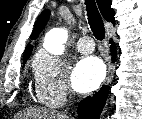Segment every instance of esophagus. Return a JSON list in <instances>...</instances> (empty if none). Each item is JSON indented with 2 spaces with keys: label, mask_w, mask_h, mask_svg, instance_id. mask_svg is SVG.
Returning <instances> with one entry per match:
<instances>
[{
  "label": "esophagus",
  "mask_w": 142,
  "mask_h": 119,
  "mask_svg": "<svg viewBox=\"0 0 142 119\" xmlns=\"http://www.w3.org/2000/svg\"><path fill=\"white\" fill-rule=\"evenodd\" d=\"M113 71H114V66L111 65L109 69V75L107 77L106 83L109 84L112 81L113 78Z\"/></svg>",
  "instance_id": "esophagus-1"
}]
</instances>
